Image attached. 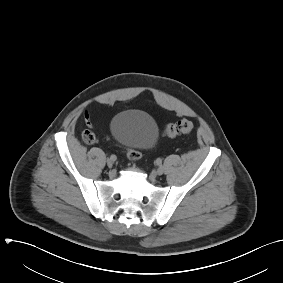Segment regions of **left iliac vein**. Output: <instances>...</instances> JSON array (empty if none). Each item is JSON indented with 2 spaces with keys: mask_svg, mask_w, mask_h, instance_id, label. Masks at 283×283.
Listing matches in <instances>:
<instances>
[{
  "mask_svg": "<svg viewBox=\"0 0 283 283\" xmlns=\"http://www.w3.org/2000/svg\"><path fill=\"white\" fill-rule=\"evenodd\" d=\"M157 175H162L164 173V167L159 166L156 170Z\"/></svg>",
  "mask_w": 283,
  "mask_h": 283,
  "instance_id": "4c4485c4",
  "label": "left iliac vein"
}]
</instances>
